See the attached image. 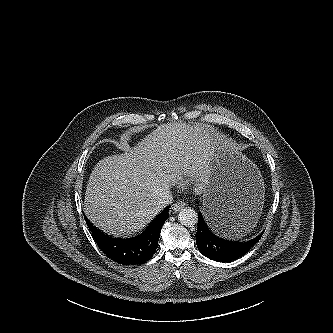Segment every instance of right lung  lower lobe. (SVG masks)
I'll return each instance as SVG.
<instances>
[{"label": "right lung lower lobe", "instance_id": "right-lung-lower-lobe-1", "mask_svg": "<svg viewBox=\"0 0 333 333\" xmlns=\"http://www.w3.org/2000/svg\"><path fill=\"white\" fill-rule=\"evenodd\" d=\"M169 207L167 206L140 235L127 239L114 238L101 232L84 217L95 242L107 257L121 265H136L145 263L153 256L161 228L168 219Z\"/></svg>", "mask_w": 333, "mask_h": 333}]
</instances>
